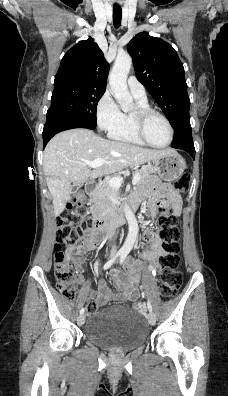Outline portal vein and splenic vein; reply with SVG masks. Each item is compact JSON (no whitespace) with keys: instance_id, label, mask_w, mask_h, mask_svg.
Wrapping results in <instances>:
<instances>
[{"instance_id":"1","label":"portal vein and splenic vein","mask_w":228,"mask_h":396,"mask_svg":"<svg viewBox=\"0 0 228 396\" xmlns=\"http://www.w3.org/2000/svg\"><path fill=\"white\" fill-rule=\"evenodd\" d=\"M107 163L106 160L104 159H95L93 161H88L86 162V164L90 167V168H96L99 167L103 164ZM140 180V174L136 173L135 175H133V179H132V184L135 185L139 182ZM108 184L110 187L114 188V189H119L121 184H122V178L120 177H113L111 179L108 180Z\"/></svg>"}]
</instances>
